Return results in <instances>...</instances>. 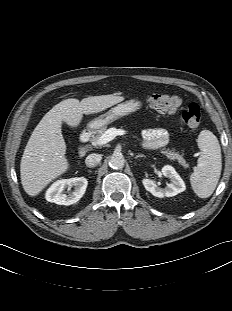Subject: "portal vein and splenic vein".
<instances>
[{
  "mask_svg": "<svg viewBox=\"0 0 232 311\" xmlns=\"http://www.w3.org/2000/svg\"><path fill=\"white\" fill-rule=\"evenodd\" d=\"M126 133L123 129L109 128L98 140L96 145H105L112 141L118 135H124Z\"/></svg>",
  "mask_w": 232,
  "mask_h": 311,
  "instance_id": "portal-vein-and-splenic-vein-1",
  "label": "portal vein and splenic vein"
}]
</instances>
